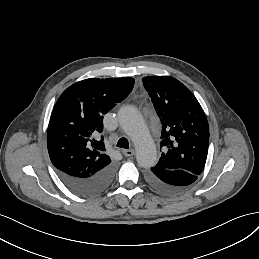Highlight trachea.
Listing matches in <instances>:
<instances>
[{
  "instance_id": "3493384b",
  "label": "trachea",
  "mask_w": 259,
  "mask_h": 259,
  "mask_svg": "<svg viewBox=\"0 0 259 259\" xmlns=\"http://www.w3.org/2000/svg\"><path fill=\"white\" fill-rule=\"evenodd\" d=\"M117 147L129 149V142L126 138L122 137L117 142Z\"/></svg>"
}]
</instances>
